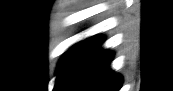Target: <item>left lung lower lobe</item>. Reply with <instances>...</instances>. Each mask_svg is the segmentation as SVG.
<instances>
[{
	"instance_id": "obj_1",
	"label": "left lung lower lobe",
	"mask_w": 173,
	"mask_h": 91,
	"mask_svg": "<svg viewBox=\"0 0 173 91\" xmlns=\"http://www.w3.org/2000/svg\"><path fill=\"white\" fill-rule=\"evenodd\" d=\"M103 40L93 36L74 49L56 83V91L120 90L122 78L109 69L113 53L100 49Z\"/></svg>"
}]
</instances>
